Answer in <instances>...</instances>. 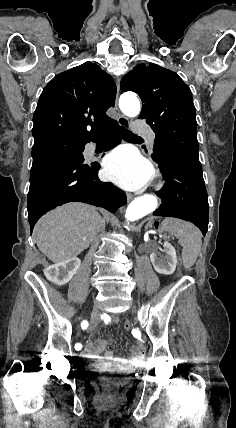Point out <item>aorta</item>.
<instances>
[{"mask_svg":"<svg viewBox=\"0 0 236 428\" xmlns=\"http://www.w3.org/2000/svg\"><path fill=\"white\" fill-rule=\"evenodd\" d=\"M119 107L128 117H135L140 113V102L135 93H124L120 96ZM157 198L146 194L135 198L127 207L125 217L129 221H136L156 210Z\"/></svg>","mask_w":236,"mask_h":428,"instance_id":"aorta-1","label":"aorta"}]
</instances>
